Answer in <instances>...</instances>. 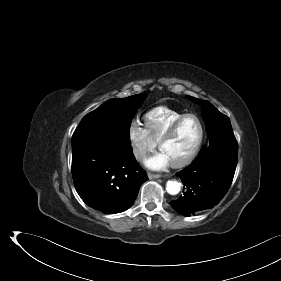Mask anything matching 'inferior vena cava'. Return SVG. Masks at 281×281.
<instances>
[{"instance_id":"inferior-vena-cava-1","label":"inferior vena cava","mask_w":281,"mask_h":281,"mask_svg":"<svg viewBox=\"0 0 281 281\" xmlns=\"http://www.w3.org/2000/svg\"><path fill=\"white\" fill-rule=\"evenodd\" d=\"M135 156L137 159L141 160L143 157H145V152L142 150H135Z\"/></svg>"}]
</instances>
